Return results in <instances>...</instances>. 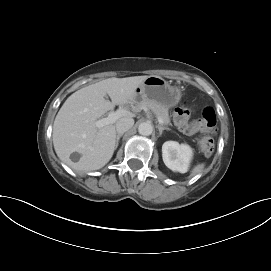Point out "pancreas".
Returning <instances> with one entry per match:
<instances>
[{"mask_svg":"<svg viewBox=\"0 0 271 271\" xmlns=\"http://www.w3.org/2000/svg\"><path fill=\"white\" fill-rule=\"evenodd\" d=\"M137 107L139 109L143 107L149 108L157 118H161L164 122L165 125L170 124V118L168 114V109L156 102L153 101H147V100H142L137 104Z\"/></svg>","mask_w":271,"mask_h":271,"instance_id":"cf45deb5","label":"pancreas"}]
</instances>
